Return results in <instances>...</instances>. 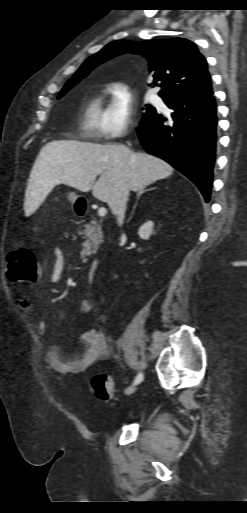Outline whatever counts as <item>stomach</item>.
<instances>
[{
  "instance_id": "0dacf381",
  "label": "stomach",
  "mask_w": 247,
  "mask_h": 513,
  "mask_svg": "<svg viewBox=\"0 0 247 513\" xmlns=\"http://www.w3.org/2000/svg\"><path fill=\"white\" fill-rule=\"evenodd\" d=\"M68 199L69 201L74 205V210L75 212L77 213V210H76V207H75V204L77 203V201L79 200V196H77L74 192H71L68 196Z\"/></svg>"
}]
</instances>
